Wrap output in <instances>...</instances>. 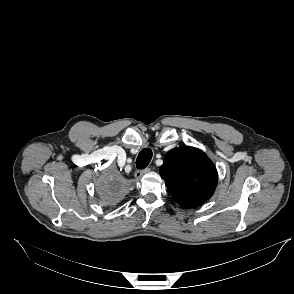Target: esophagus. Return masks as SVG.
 Wrapping results in <instances>:
<instances>
[{
	"instance_id": "1",
	"label": "esophagus",
	"mask_w": 294,
	"mask_h": 294,
	"mask_svg": "<svg viewBox=\"0 0 294 294\" xmlns=\"http://www.w3.org/2000/svg\"><path fill=\"white\" fill-rule=\"evenodd\" d=\"M151 170V168L147 167L145 169L137 170L134 173V177L136 180L140 179L144 174L148 173Z\"/></svg>"
}]
</instances>
